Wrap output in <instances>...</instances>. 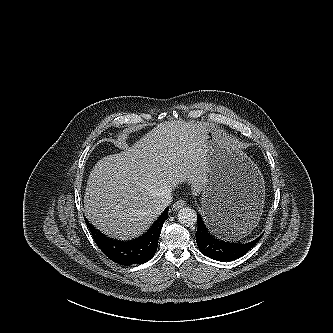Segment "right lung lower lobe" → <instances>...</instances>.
I'll return each instance as SVG.
<instances>
[{
  "mask_svg": "<svg viewBox=\"0 0 333 333\" xmlns=\"http://www.w3.org/2000/svg\"><path fill=\"white\" fill-rule=\"evenodd\" d=\"M168 211L169 208H166L145 234L132 241L113 240L95 229L87 219H85V222L96 244L109 259L120 265L130 266L143 264L154 256L161 228L168 218Z\"/></svg>",
  "mask_w": 333,
  "mask_h": 333,
  "instance_id": "right-lung-lower-lobe-1",
  "label": "right lung lower lobe"
}]
</instances>
